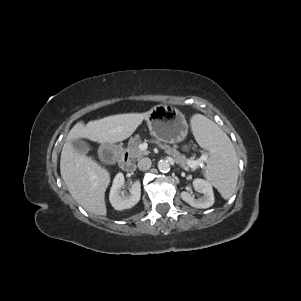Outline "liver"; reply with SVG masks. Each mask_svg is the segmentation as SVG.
I'll list each match as a JSON object with an SVG mask.
<instances>
[{
    "label": "liver",
    "instance_id": "obj_1",
    "mask_svg": "<svg viewBox=\"0 0 301 301\" xmlns=\"http://www.w3.org/2000/svg\"><path fill=\"white\" fill-rule=\"evenodd\" d=\"M148 113H127L79 122L70 130L64 143L60 172L73 199L86 211L100 216L107 214L105 191L110 183V174L91 158L77 153L72 140L87 138L91 141L117 143L129 138Z\"/></svg>",
    "mask_w": 301,
    "mask_h": 301
}]
</instances>
